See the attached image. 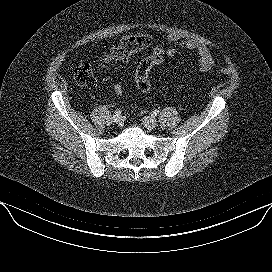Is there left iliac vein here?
Returning a JSON list of instances; mask_svg holds the SVG:
<instances>
[{"instance_id":"1","label":"left iliac vein","mask_w":272,"mask_h":272,"mask_svg":"<svg viewBox=\"0 0 272 272\" xmlns=\"http://www.w3.org/2000/svg\"><path fill=\"white\" fill-rule=\"evenodd\" d=\"M143 124L149 130L155 129L158 125L156 119L152 116H145L143 118Z\"/></svg>"}]
</instances>
